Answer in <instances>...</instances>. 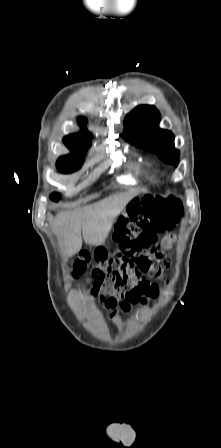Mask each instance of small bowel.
Instances as JSON below:
<instances>
[{"instance_id":"c3829d8e","label":"small bowel","mask_w":221,"mask_h":448,"mask_svg":"<svg viewBox=\"0 0 221 448\" xmlns=\"http://www.w3.org/2000/svg\"><path fill=\"white\" fill-rule=\"evenodd\" d=\"M176 237L173 234L166 235L161 241L163 250H168L172 246ZM106 298L103 300L104 307L108 310V317L117 325H122L120 317L117 316L119 310H129L130 306L126 300L124 293L120 290H110L106 293Z\"/></svg>"}]
</instances>
